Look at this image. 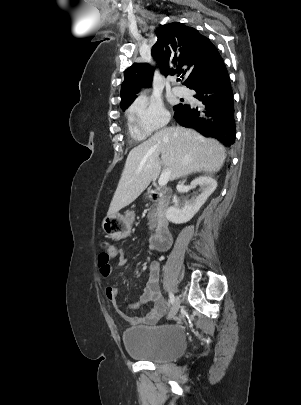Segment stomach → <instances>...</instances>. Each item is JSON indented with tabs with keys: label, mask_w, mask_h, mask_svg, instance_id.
<instances>
[{
	"label": "stomach",
	"mask_w": 301,
	"mask_h": 405,
	"mask_svg": "<svg viewBox=\"0 0 301 405\" xmlns=\"http://www.w3.org/2000/svg\"><path fill=\"white\" fill-rule=\"evenodd\" d=\"M133 216V213L108 215L102 222V229L112 239L126 238L131 232Z\"/></svg>",
	"instance_id": "1"
}]
</instances>
